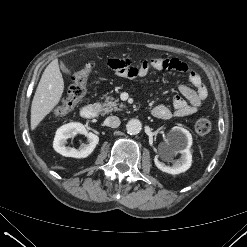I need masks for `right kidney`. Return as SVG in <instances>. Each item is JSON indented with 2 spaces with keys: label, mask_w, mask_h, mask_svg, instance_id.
Listing matches in <instances>:
<instances>
[{
  "label": "right kidney",
  "mask_w": 247,
  "mask_h": 247,
  "mask_svg": "<svg viewBox=\"0 0 247 247\" xmlns=\"http://www.w3.org/2000/svg\"><path fill=\"white\" fill-rule=\"evenodd\" d=\"M77 134L85 135L87 137V143H82L78 149L66 147V140ZM98 142L99 137L97 135L89 132L83 124L73 122L61 126L56 131L53 148L57 153L66 157L86 158L94 151Z\"/></svg>",
  "instance_id": "obj_1"
}]
</instances>
